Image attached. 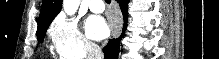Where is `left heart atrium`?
<instances>
[{"instance_id": "obj_1", "label": "left heart atrium", "mask_w": 219, "mask_h": 59, "mask_svg": "<svg viewBox=\"0 0 219 59\" xmlns=\"http://www.w3.org/2000/svg\"><path fill=\"white\" fill-rule=\"evenodd\" d=\"M85 30L87 35L94 40L104 39L109 33L105 19L96 15H91L86 19Z\"/></svg>"}]
</instances>
